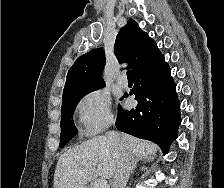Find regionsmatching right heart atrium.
<instances>
[{
	"instance_id": "obj_1",
	"label": "right heart atrium",
	"mask_w": 224,
	"mask_h": 188,
	"mask_svg": "<svg viewBox=\"0 0 224 188\" xmlns=\"http://www.w3.org/2000/svg\"><path fill=\"white\" fill-rule=\"evenodd\" d=\"M77 111L83 130L89 136L101 133L114 123L110 98L98 90L82 97Z\"/></svg>"
}]
</instances>
